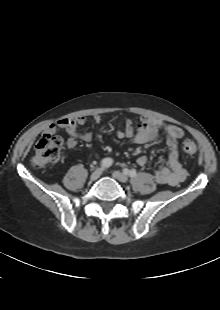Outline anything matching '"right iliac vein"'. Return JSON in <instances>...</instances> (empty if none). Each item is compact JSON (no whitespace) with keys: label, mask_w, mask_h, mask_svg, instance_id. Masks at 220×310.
I'll use <instances>...</instances> for the list:
<instances>
[{"label":"right iliac vein","mask_w":220,"mask_h":310,"mask_svg":"<svg viewBox=\"0 0 220 310\" xmlns=\"http://www.w3.org/2000/svg\"><path fill=\"white\" fill-rule=\"evenodd\" d=\"M102 174V169H96L90 176L91 180H97Z\"/></svg>","instance_id":"obj_1"}]
</instances>
